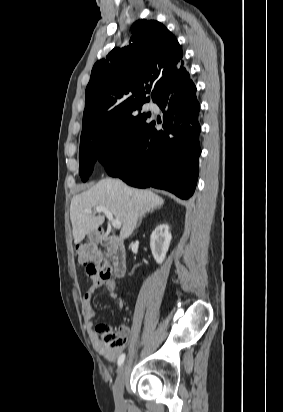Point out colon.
I'll return each mask as SVG.
<instances>
[{"label":"colon","mask_w":283,"mask_h":412,"mask_svg":"<svg viewBox=\"0 0 283 412\" xmlns=\"http://www.w3.org/2000/svg\"><path fill=\"white\" fill-rule=\"evenodd\" d=\"M78 261L86 266V272L89 275L98 276L103 279H109L113 271V263L103 253V251L93 244H82L76 249ZM100 335L102 351L111 354L124 346L127 341L126 335L121 331L105 325L99 324L96 327Z\"/></svg>","instance_id":"5ec220e1"}]
</instances>
